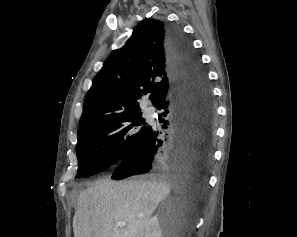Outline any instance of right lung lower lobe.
<instances>
[{"label":"right lung lower lobe","mask_w":297,"mask_h":237,"mask_svg":"<svg viewBox=\"0 0 297 237\" xmlns=\"http://www.w3.org/2000/svg\"><path fill=\"white\" fill-rule=\"evenodd\" d=\"M167 51L173 77L170 97L156 107L161 132L151 128L141 144L115 169L112 179L146 173L207 174L212 161L215 109L212 91L190 41L177 26H167Z\"/></svg>","instance_id":"right-lung-lower-lobe-1"}]
</instances>
